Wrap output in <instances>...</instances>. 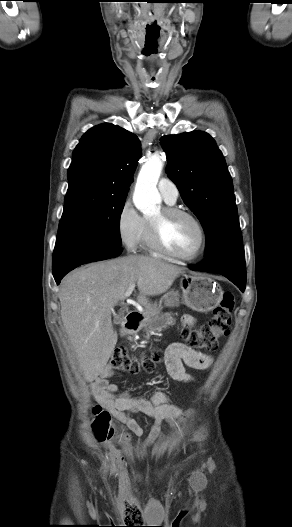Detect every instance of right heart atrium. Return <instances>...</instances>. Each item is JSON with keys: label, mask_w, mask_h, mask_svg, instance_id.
I'll return each instance as SVG.
<instances>
[{"label": "right heart atrium", "mask_w": 292, "mask_h": 527, "mask_svg": "<svg viewBox=\"0 0 292 527\" xmlns=\"http://www.w3.org/2000/svg\"><path fill=\"white\" fill-rule=\"evenodd\" d=\"M144 226V218L137 212L130 199H126L117 215L118 236L128 251L137 249Z\"/></svg>", "instance_id": "obj_1"}]
</instances>
